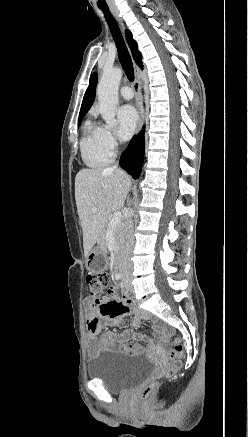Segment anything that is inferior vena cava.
I'll list each match as a JSON object with an SVG mask.
<instances>
[{
  "mask_svg": "<svg viewBox=\"0 0 248 437\" xmlns=\"http://www.w3.org/2000/svg\"><path fill=\"white\" fill-rule=\"evenodd\" d=\"M117 166L114 165L112 169H116ZM135 239L133 235V222L128 218L125 223V242L123 245V265L130 268L132 266L130 260V254L134 247Z\"/></svg>",
  "mask_w": 248,
  "mask_h": 437,
  "instance_id": "obj_1",
  "label": "inferior vena cava"
}]
</instances>
